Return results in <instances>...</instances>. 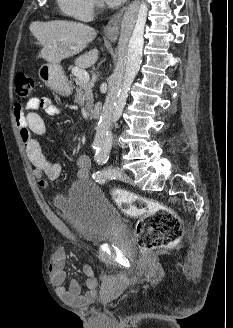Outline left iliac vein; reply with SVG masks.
I'll use <instances>...</instances> for the list:
<instances>
[{
    "mask_svg": "<svg viewBox=\"0 0 233 328\" xmlns=\"http://www.w3.org/2000/svg\"><path fill=\"white\" fill-rule=\"evenodd\" d=\"M115 176L118 180L127 182V183H133V179L130 178L127 174H125L124 172L117 170L115 171Z\"/></svg>",
    "mask_w": 233,
    "mask_h": 328,
    "instance_id": "1",
    "label": "left iliac vein"
}]
</instances>
